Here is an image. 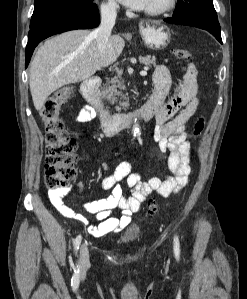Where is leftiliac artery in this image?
<instances>
[{"instance_id": "1", "label": "left iliac artery", "mask_w": 247, "mask_h": 299, "mask_svg": "<svg viewBox=\"0 0 247 299\" xmlns=\"http://www.w3.org/2000/svg\"><path fill=\"white\" fill-rule=\"evenodd\" d=\"M174 253L177 259H179L180 255V243H179V238L178 236L174 237Z\"/></svg>"}]
</instances>
